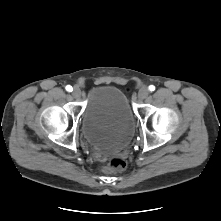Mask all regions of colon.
<instances>
[{
    "label": "colon",
    "mask_w": 221,
    "mask_h": 221,
    "mask_svg": "<svg viewBox=\"0 0 221 221\" xmlns=\"http://www.w3.org/2000/svg\"><path fill=\"white\" fill-rule=\"evenodd\" d=\"M126 168V161L123 158H113L110 160L107 170L108 171H122Z\"/></svg>",
    "instance_id": "colon-1"
}]
</instances>
